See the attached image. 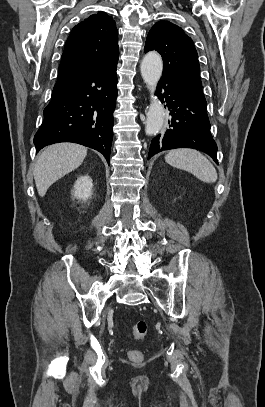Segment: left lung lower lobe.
<instances>
[{"mask_svg": "<svg viewBox=\"0 0 265 407\" xmlns=\"http://www.w3.org/2000/svg\"><path fill=\"white\" fill-rule=\"evenodd\" d=\"M156 94L167 103L171 119L165 134L152 140L148 159L163 150L189 147L207 153L218 163L217 145L210 133L207 103L165 77L160 79Z\"/></svg>", "mask_w": 265, "mask_h": 407, "instance_id": "0a47b994", "label": "left lung lower lobe"}]
</instances>
